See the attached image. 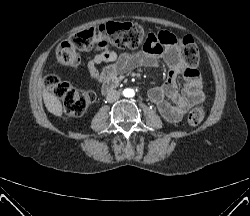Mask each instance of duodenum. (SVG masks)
I'll return each instance as SVG.
<instances>
[{
    "label": "duodenum",
    "mask_w": 250,
    "mask_h": 216,
    "mask_svg": "<svg viewBox=\"0 0 250 216\" xmlns=\"http://www.w3.org/2000/svg\"><path fill=\"white\" fill-rule=\"evenodd\" d=\"M117 85H118V80L117 79L107 80L102 85V92L103 93H108L111 90H113L114 88H116Z\"/></svg>",
    "instance_id": "duodenum-1"
}]
</instances>
